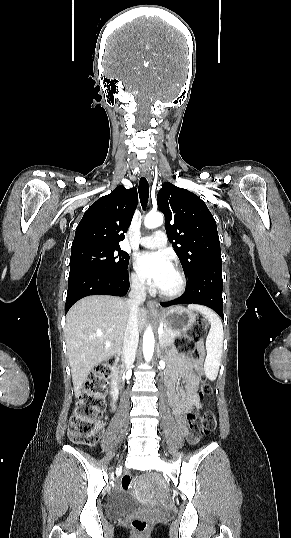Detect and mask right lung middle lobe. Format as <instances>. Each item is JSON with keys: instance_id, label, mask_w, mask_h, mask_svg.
Returning a JSON list of instances; mask_svg holds the SVG:
<instances>
[{"instance_id": "1", "label": "right lung middle lobe", "mask_w": 291, "mask_h": 538, "mask_svg": "<svg viewBox=\"0 0 291 538\" xmlns=\"http://www.w3.org/2000/svg\"><path fill=\"white\" fill-rule=\"evenodd\" d=\"M128 263L129 255L120 246H85L72 249L69 274L82 270L120 273L127 270Z\"/></svg>"}]
</instances>
